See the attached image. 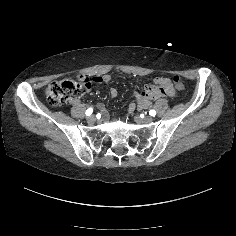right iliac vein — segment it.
Here are the masks:
<instances>
[{"label":"right iliac vein","mask_w":236,"mask_h":236,"mask_svg":"<svg viewBox=\"0 0 236 236\" xmlns=\"http://www.w3.org/2000/svg\"><path fill=\"white\" fill-rule=\"evenodd\" d=\"M95 120H96V118H95L94 115H90V116L87 118V121H88L89 123H93Z\"/></svg>","instance_id":"right-iliac-vein-1"}]
</instances>
